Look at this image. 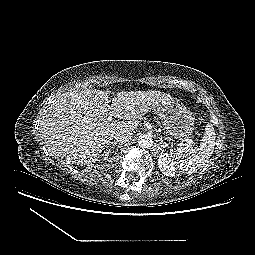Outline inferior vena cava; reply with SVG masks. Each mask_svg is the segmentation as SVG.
Segmentation results:
<instances>
[{"mask_svg": "<svg viewBox=\"0 0 255 255\" xmlns=\"http://www.w3.org/2000/svg\"><path fill=\"white\" fill-rule=\"evenodd\" d=\"M133 135L132 130L123 129L115 133L114 138L116 141L124 143L131 139Z\"/></svg>", "mask_w": 255, "mask_h": 255, "instance_id": "obj_1", "label": "inferior vena cava"}]
</instances>
